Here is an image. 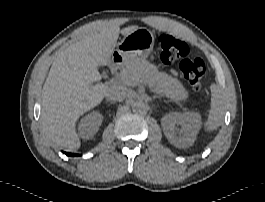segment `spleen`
<instances>
[{"label":"spleen","mask_w":265,"mask_h":202,"mask_svg":"<svg viewBox=\"0 0 265 202\" xmlns=\"http://www.w3.org/2000/svg\"><path fill=\"white\" fill-rule=\"evenodd\" d=\"M211 89V109L209 110L208 119L204 124L206 131H214L221 125L224 118V105L220 89L217 85L212 84Z\"/></svg>","instance_id":"1"}]
</instances>
